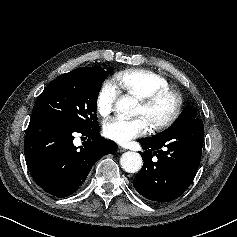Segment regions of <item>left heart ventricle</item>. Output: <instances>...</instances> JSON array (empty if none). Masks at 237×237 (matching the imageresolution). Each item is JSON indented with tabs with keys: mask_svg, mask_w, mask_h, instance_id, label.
Segmentation results:
<instances>
[{
	"mask_svg": "<svg viewBox=\"0 0 237 237\" xmlns=\"http://www.w3.org/2000/svg\"><path fill=\"white\" fill-rule=\"evenodd\" d=\"M173 108V100L171 98H164L159 101L154 107L151 109H146L139 102L136 108L135 115L143 117L148 124L152 121L160 120L166 117Z\"/></svg>",
	"mask_w": 237,
	"mask_h": 237,
	"instance_id": "left-heart-ventricle-1",
	"label": "left heart ventricle"
}]
</instances>
